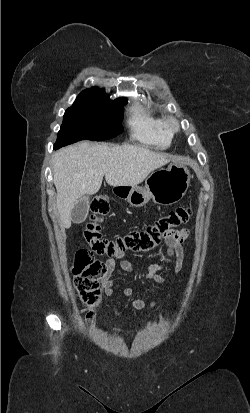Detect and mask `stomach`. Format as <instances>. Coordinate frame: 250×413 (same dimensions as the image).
<instances>
[{
	"label": "stomach",
	"mask_w": 250,
	"mask_h": 413,
	"mask_svg": "<svg viewBox=\"0 0 250 413\" xmlns=\"http://www.w3.org/2000/svg\"><path fill=\"white\" fill-rule=\"evenodd\" d=\"M190 172L180 161H173L167 169L153 172L145 186H114V193L136 208L145 206L150 199L159 205H172L180 201L190 184Z\"/></svg>",
	"instance_id": "1"
}]
</instances>
